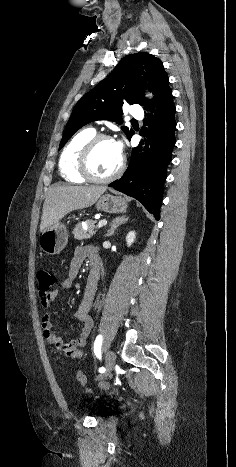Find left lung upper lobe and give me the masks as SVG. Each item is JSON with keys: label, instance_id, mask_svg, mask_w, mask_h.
<instances>
[{"label": "left lung upper lobe", "instance_id": "left-lung-upper-lobe-1", "mask_svg": "<svg viewBox=\"0 0 236 467\" xmlns=\"http://www.w3.org/2000/svg\"><path fill=\"white\" fill-rule=\"evenodd\" d=\"M168 76L160 59L148 53L130 54L121 59L111 75L84 95L75 105L66 125L59 150L82 126L96 120H110L122 124V105L138 103L149 109V101L143 89L153 93L152 103L169 88ZM127 138L134 134L132 129L122 127Z\"/></svg>", "mask_w": 236, "mask_h": 467}]
</instances>
